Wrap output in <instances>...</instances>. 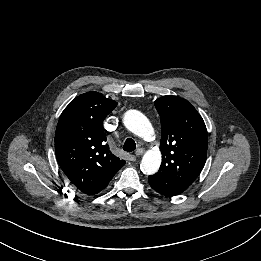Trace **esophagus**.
Here are the masks:
<instances>
[{
    "instance_id": "1",
    "label": "esophagus",
    "mask_w": 261,
    "mask_h": 261,
    "mask_svg": "<svg viewBox=\"0 0 261 261\" xmlns=\"http://www.w3.org/2000/svg\"><path fill=\"white\" fill-rule=\"evenodd\" d=\"M145 150L143 148H138L135 152L136 156H141L142 154H144Z\"/></svg>"
}]
</instances>
